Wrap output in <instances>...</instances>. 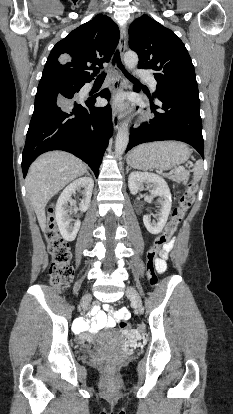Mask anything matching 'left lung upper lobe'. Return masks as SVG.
I'll use <instances>...</instances> for the list:
<instances>
[{"label": "left lung upper lobe", "mask_w": 233, "mask_h": 414, "mask_svg": "<svg viewBox=\"0 0 233 414\" xmlns=\"http://www.w3.org/2000/svg\"><path fill=\"white\" fill-rule=\"evenodd\" d=\"M129 47L139 56V68L155 71L157 91L198 89L194 66L183 42L149 16L143 15L130 25Z\"/></svg>", "instance_id": "obj_1"}]
</instances>
